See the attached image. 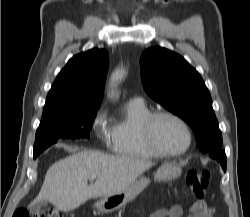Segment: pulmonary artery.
Instances as JSON below:
<instances>
[{
  "instance_id": "pulmonary-artery-1",
  "label": "pulmonary artery",
  "mask_w": 250,
  "mask_h": 217,
  "mask_svg": "<svg viewBox=\"0 0 250 217\" xmlns=\"http://www.w3.org/2000/svg\"><path fill=\"white\" fill-rule=\"evenodd\" d=\"M130 101L141 102L142 99H141L140 97H132V98L130 99Z\"/></svg>"
}]
</instances>
